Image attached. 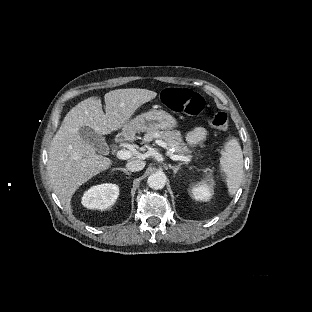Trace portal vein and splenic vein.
<instances>
[{
    "label": "portal vein and splenic vein",
    "instance_id": "portal-vein-and-splenic-vein-1",
    "mask_svg": "<svg viewBox=\"0 0 312 312\" xmlns=\"http://www.w3.org/2000/svg\"><path fill=\"white\" fill-rule=\"evenodd\" d=\"M157 142H158V145L164 148L167 147V144L164 141L158 140ZM174 151L175 150L172 148L170 149V152H169V156L172 160L190 162L191 159L189 156L176 155V154H173ZM131 156H132V152L129 150H120L117 152V158L122 159V160L129 159Z\"/></svg>",
    "mask_w": 312,
    "mask_h": 312
}]
</instances>
